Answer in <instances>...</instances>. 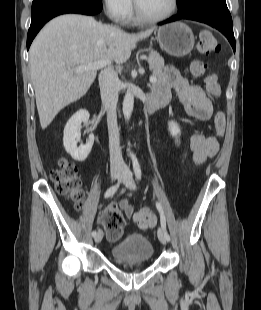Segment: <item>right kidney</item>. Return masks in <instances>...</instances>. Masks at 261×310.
I'll return each instance as SVG.
<instances>
[{
	"label": "right kidney",
	"mask_w": 261,
	"mask_h": 310,
	"mask_svg": "<svg viewBox=\"0 0 261 310\" xmlns=\"http://www.w3.org/2000/svg\"><path fill=\"white\" fill-rule=\"evenodd\" d=\"M89 112L85 109L78 110L67 122L64 128L63 144L67 153L78 162L84 161L91 152L94 135L90 134L85 145L77 147L80 137L81 124L87 125Z\"/></svg>",
	"instance_id": "ca27d5eb"
}]
</instances>
